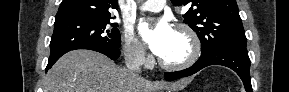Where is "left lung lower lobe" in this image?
<instances>
[{
    "label": "left lung lower lobe",
    "instance_id": "0a47b994",
    "mask_svg": "<svg viewBox=\"0 0 289 92\" xmlns=\"http://www.w3.org/2000/svg\"><path fill=\"white\" fill-rule=\"evenodd\" d=\"M210 65H222L234 70L243 81L245 90L252 92L249 71L250 59L246 47L241 46H230L218 49L205 56H201L193 66L187 69L176 72H165L164 75L166 80L173 81L193 75Z\"/></svg>",
    "mask_w": 289,
    "mask_h": 92
}]
</instances>
